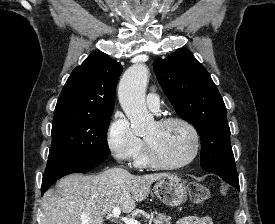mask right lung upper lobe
<instances>
[{
	"label": "right lung upper lobe",
	"instance_id": "obj_1",
	"mask_svg": "<svg viewBox=\"0 0 275 224\" xmlns=\"http://www.w3.org/2000/svg\"><path fill=\"white\" fill-rule=\"evenodd\" d=\"M122 66L101 51H95L76 67L64 85L54 118L112 114L117 80Z\"/></svg>",
	"mask_w": 275,
	"mask_h": 224
}]
</instances>
